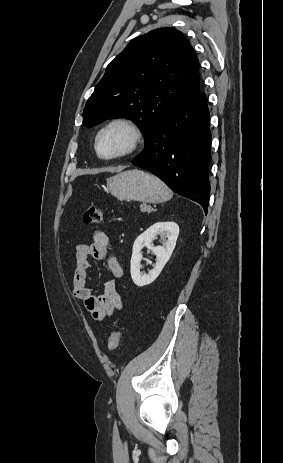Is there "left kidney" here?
Wrapping results in <instances>:
<instances>
[{
  "instance_id": "obj_1",
  "label": "left kidney",
  "mask_w": 283,
  "mask_h": 463,
  "mask_svg": "<svg viewBox=\"0 0 283 463\" xmlns=\"http://www.w3.org/2000/svg\"><path fill=\"white\" fill-rule=\"evenodd\" d=\"M156 235H160L163 239V246L154 247L151 244ZM178 235L179 226L175 222H157L137 237L133 244L130 271L132 280L138 287L152 283L159 276L173 253ZM144 247L156 255V264L148 274L140 272L141 250Z\"/></svg>"
}]
</instances>
